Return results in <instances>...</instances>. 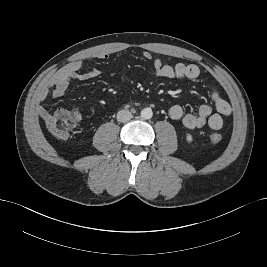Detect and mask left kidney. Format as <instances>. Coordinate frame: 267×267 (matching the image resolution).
Listing matches in <instances>:
<instances>
[{
	"mask_svg": "<svg viewBox=\"0 0 267 267\" xmlns=\"http://www.w3.org/2000/svg\"><path fill=\"white\" fill-rule=\"evenodd\" d=\"M186 140L191 143L193 138H192V135L191 134H186Z\"/></svg>",
	"mask_w": 267,
	"mask_h": 267,
	"instance_id": "1",
	"label": "left kidney"
}]
</instances>
